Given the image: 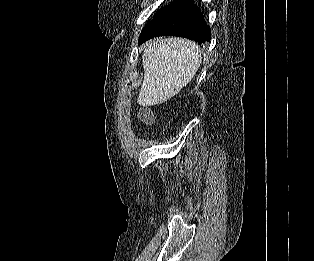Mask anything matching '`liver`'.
<instances>
[{
  "label": "liver",
  "mask_w": 314,
  "mask_h": 261,
  "mask_svg": "<svg viewBox=\"0 0 314 261\" xmlns=\"http://www.w3.org/2000/svg\"><path fill=\"white\" fill-rule=\"evenodd\" d=\"M142 59L144 80L137 103L143 107L161 104L178 94L195 76L202 61L198 45L178 37L152 41Z\"/></svg>",
  "instance_id": "6515ba94"
}]
</instances>
